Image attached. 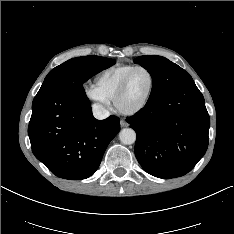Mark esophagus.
Returning <instances> with one entry per match:
<instances>
[{
	"instance_id": "34e87169",
	"label": "esophagus",
	"mask_w": 234,
	"mask_h": 234,
	"mask_svg": "<svg viewBox=\"0 0 234 234\" xmlns=\"http://www.w3.org/2000/svg\"><path fill=\"white\" fill-rule=\"evenodd\" d=\"M120 125H121V127H127L129 124L125 119H121Z\"/></svg>"
}]
</instances>
